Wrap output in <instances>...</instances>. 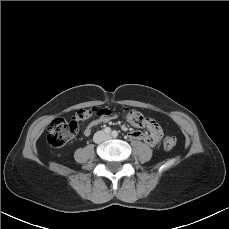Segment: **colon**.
I'll use <instances>...</instances> for the list:
<instances>
[{"label":"colon","mask_w":229,"mask_h":229,"mask_svg":"<svg viewBox=\"0 0 229 229\" xmlns=\"http://www.w3.org/2000/svg\"><path fill=\"white\" fill-rule=\"evenodd\" d=\"M105 111L98 108L82 109L75 113L71 121H66L61 118L54 119L47 128L46 140L52 147H61L76 134L79 124L88 120L95 114H101ZM126 119L135 126L142 127L147 123V118L136 109L125 108ZM177 145V138L173 135L165 137L163 146L167 150L175 148Z\"/></svg>","instance_id":"5ec220e1"}]
</instances>
